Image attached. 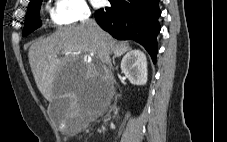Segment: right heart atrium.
I'll use <instances>...</instances> for the list:
<instances>
[{"label": "right heart atrium", "mask_w": 227, "mask_h": 142, "mask_svg": "<svg viewBox=\"0 0 227 142\" xmlns=\"http://www.w3.org/2000/svg\"><path fill=\"white\" fill-rule=\"evenodd\" d=\"M90 16L91 11L84 0H55L52 18L58 24L85 22Z\"/></svg>", "instance_id": "1"}]
</instances>
